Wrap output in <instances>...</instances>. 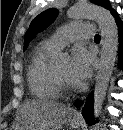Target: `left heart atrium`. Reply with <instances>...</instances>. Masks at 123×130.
<instances>
[{
  "mask_svg": "<svg viewBox=\"0 0 123 130\" xmlns=\"http://www.w3.org/2000/svg\"><path fill=\"white\" fill-rule=\"evenodd\" d=\"M93 56L83 47L74 49L69 65V77L74 85H81L93 68Z\"/></svg>",
  "mask_w": 123,
  "mask_h": 130,
  "instance_id": "obj_1",
  "label": "left heart atrium"
}]
</instances>
